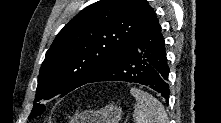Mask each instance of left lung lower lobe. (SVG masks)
<instances>
[{
	"label": "left lung lower lobe",
	"mask_w": 221,
	"mask_h": 123,
	"mask_svg": "<svg viewBox=\"0 0 221 123\" xmlns=\"http://www.w3.org/2000/svg\"><path fill=\"white\" fill-rule=\"evenodd\" d=\"M169 67L161 26L157 18L132 44L99 70L87 83L126 81L146 85L160 93L168 103Z\"/></svg>",
	"instance_id": "0a47b994"
}]
</instances>
